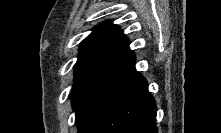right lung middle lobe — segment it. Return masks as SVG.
<instances>
[{
  "mask_svg": "<svg viewBox=\"0 0 221 133\" xmlns=\"http://www.w3.org/2000/svg\"><path fill=\"white\" fill-rule=\"evenodd\" d=\"M98 73H90V74H75L74 73V84H73V93H72V106L76 112V116L78 110L86 97L92 83L99 76Z\"/></svg>",
  "mask_w": 221,
  "mask_h": 133,
  "instance_id": "dd1d6c3e",
  "label": "right lung middle lobe"
}]
</instances>
